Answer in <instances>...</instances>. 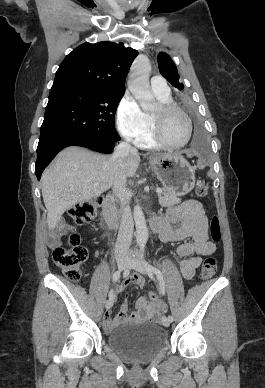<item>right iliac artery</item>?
Wrapping results in <instances>:
<instances>
[{
	"label": "right iliac artery",
	"mask_w": 265,
	"mask_h": 388,
	"mask_svg": "<svg viewBox=\"0 0 265 388\" xmlns=\"http://www.w3.org/2000/svg\"><path fill=\"white\" fill-rule=\"evenodd\" d=\"M120 270H117L113 273V276H112V280L113 282H117L120 278ZM109 299H113V291L111 290L110 293H109Z\"/></svg>",
	"instance_id": "obj_1"
}]
</instances>
